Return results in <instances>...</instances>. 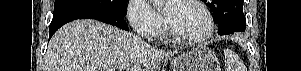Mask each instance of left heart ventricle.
<instances>
[{
	"label": "left heart ventricle",
	"instance_id": "left-heart-ventricle-1",
	"mask_svg": "<svg viewBox=\"0 0 301 71\" xmlns=\"http://www.w3.org/2000/svg\"><path fill=\"white\" fill-rule=\"evenodd\" d=\"M165 15L172 29L184 37L199 36L207 26L201 10L184 1H174L167 5Z\"/></svg>",
	"mask_w": 301,
	"mask_h": 71
}]
</instances>
